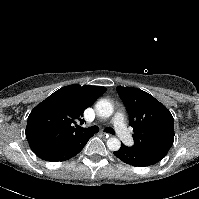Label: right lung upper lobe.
<instances>
[{
	"instance_id": "right-lung-upper-lobe-1",
	"label": "right lung upper lobe",
	"mask_w": 199,
	"mask_h": 199,
	"mask_svg": "<svg viewBox=\"0 0 199 199\" xmlns=\"http://www.w3.org/2000/svg\"><path fill=\"white\" fill-rule=\"evenodd\" d=\"M105 91L101 86L68 85L52 93L28 117L25 132L30 148H52L83 136L76 123L84 122V110Z\"/></svg>"
}]
</instances>
